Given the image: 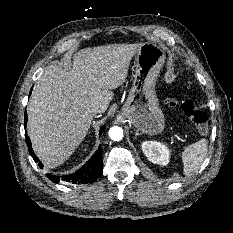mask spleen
I'll return each mask as SVG.
<instances>
[{
    "label": "spleen",
    "mask_w": 233,
    "mask_h": 233,
    "mask_svg": "<svg viewBox=\"0 0 233 233\" xmlns=\"http://www.w3.org/2000/svg\"><path fill=\"white\" fill-rule=\"evenodd\" d=\"M207 145V140L203 138L184 149L181 157L185 176L193 175L199 170L207 154Z\"/></svg>",
    "instance_id": "3e777b00"
}]
</instances>
